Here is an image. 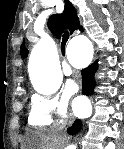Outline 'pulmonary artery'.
Returning a JSON list of instances; mask_svg holds the SVG:
<instances>
[{"mask_svg": "<svg viewBox=\"0 0 124 149\" xmlns=\"http://www.w3.org/2000/svg\"><path fill=\"white\" fill-rule=\"evenodd\" d=\"M71 66L69 64H67L64 68H63V72L66 74V75H70L71 74Z\"/></svg>", "mask_w": 124, "mask_h": 149, "instance_id": "pulmonary-artery-1", "label": "pulmonary artery"}]
</instances>
